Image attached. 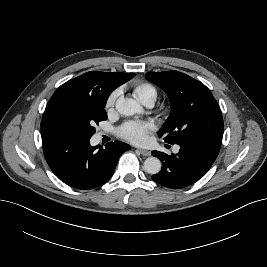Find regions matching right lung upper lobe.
Wrapping results in <instances>:
<instances>
[{
  "label": "right lung upper lobe",
  "mask_w": 267,
  "mask_h": 267,
  "mask_svg": "<svg viewBox=\"0 0 267 267\" xmlns=\"http://www.w3.org/2000/svg\"><path fill=\"white\" fill-rule=\"evenodd\" d=\"M134 76L135 73L87 72L61 85L50 100L61 96L107 100L114 89ZM46 128L41 126V130Z\"/></svg>",
  "instance_id": "obj_1"
}]
</instances>
